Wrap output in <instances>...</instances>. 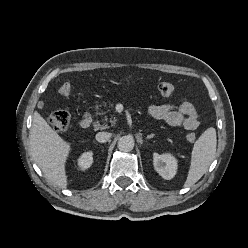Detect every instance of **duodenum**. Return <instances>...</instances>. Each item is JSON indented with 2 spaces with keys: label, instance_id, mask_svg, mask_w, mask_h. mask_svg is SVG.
I'll use <instances>...</instances> for the list:
<instances>
[{
  "label": "duodenum",
  "instance_id": "1",
  "mask_svg": "<svg viewBox=\"0 0 248 248\" xmlns=\"http://www.w3.org/2000/svg\"><path fill=\"white\" fill-rule=\"evenodd\" d=\"M92 118L90 115H85L82 117V119L79 121V128L82 130H86L91 126Z\"/></svg>",
  "mask_w": 248,
  "mask_h": 248
}]
</instances>
